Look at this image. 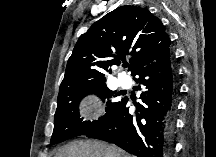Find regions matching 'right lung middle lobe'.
I'll return each mask as SVG.
<instances>
[{
	"mask_svg": "<svg viewBox=\"0 0 216 157\" xmlns=\"http://www.w3.org/2000/svg\"><path fill=\"white\" fill-rule=\"evenodd\" d=\"M88 94H96L103 102L106 101L105 114L97 121H82L79 115V103ZM118 94L107 87L88 89L77 93L66 94L57 99V110L55 113V125L50 144L60 143L69 138L86 135L109 122L119 110L123 103L114 101Z\"/></svg>",
	"mask_w": 216,
	"mask_h": 157,
	"instance_id": "right-lung-middle-lobe-1",
	"label": "right lung middle lobe"
}]
</instances>
